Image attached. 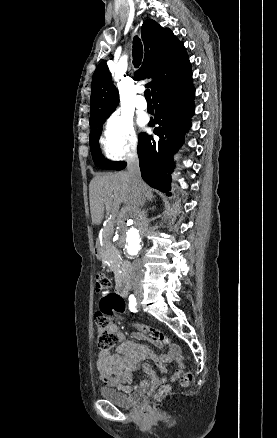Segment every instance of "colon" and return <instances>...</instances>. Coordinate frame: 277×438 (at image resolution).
<instances>
[{
	"mask_svg": "<svg viewBox=\"0 0 277 438\" xmlns=\"http://www.w3.org/2000/svg\"><path fill=\"white\" fill-rule=\"evenodd\" d=\"M95 293L101 294L108 289V285L111 284V280L104 274L103 272H96L95 274ZM94 322L97 328L101 329L96 335V345L101 351H108L114 347V345L118 341V336L108 330L106 328L109 326L111 319L110 316L103 312H96L94 316ZM143 333L148 336L155 344H163L169 343L170 339L164 334L155 328H144ZM193 380L192 372L184 373L180 378V384L182 386H188L191 384ZM170 388L175 386L173 381L168 383ZM167 389H151L150 397L151 398H164L165 393H167Z\"/></svg>",
	"mask_w": 277,
	"mask_h": 438,
	"instance_id": "obj_1",
	"label": "colon"
}]
</instances>
